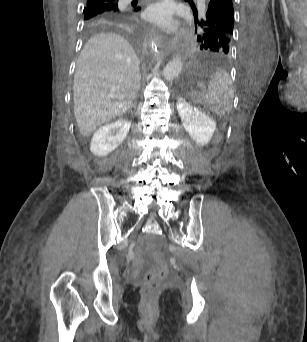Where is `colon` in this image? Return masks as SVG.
<instances>
[{
  "mask_svg": "<svg viewBox=\"0 0 307 342\" xmlns=\"http://www.w3.org/2000/svg\"><path fill=\"white\" fill-rule=\"evenodd\" d=\"M169 266H154V269L146 270V281L142 282L143 295H155V288H159L163 276H168ZM147 307L153 306L152 300L146 301Z\"/></svg>",
  "mask_w": 307,
  "mask_h": 342,
  "instance_id": "colon-1",
  "label": "colon"
}]
</instances>
